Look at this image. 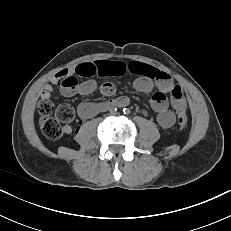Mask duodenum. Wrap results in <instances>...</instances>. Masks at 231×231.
I'll use <instances>...</instances> for the list:
<instances>
[{
  "label": "duodenum",
  "mask_w": 231,
  "mask_h": 231,
  "mask_svg": "<svg viewBox=\"0 0 231 231\" xmlns=\"http://www.w3.org/2000/svg\"><path fill=\"white\" fill-rule=\"evenodd\" d=\"M113 105H114V102L111 101V102L106 103V104H105V107H110V106H113Z\"/></svg>",
  "instance_id": "1"
}]
</instances>
